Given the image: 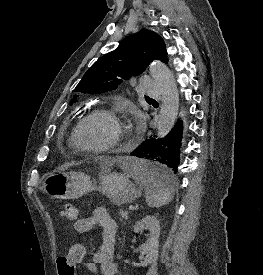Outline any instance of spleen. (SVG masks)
I'll use <instances>...</instances> for the list:
<instances>
[{"mask_svg": "<svg viewBox=\"0 0 263 275\" xmlns=\"http://www.w3.org/2000/svg\"><path fill=\"white\" fill-rule=\"evenodd\" d=\"M128 176L144 187L146 202L149 207L158 208L173 199V188L160 179L150 175V165L144 160L127 158L122 164Z\"/></svg>", "mask_w": 263, "mask_h": 275, "instance_id": "1", "label": "spleen"}]
</instances>
